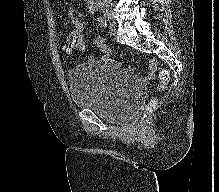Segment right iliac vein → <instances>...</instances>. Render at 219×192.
Listing matches in <instances>:
<instances>
[{"mask_svg": "<svg viewBox=\"0 0 219 192\" xmlns=\"http://www.w3.org/2000/svg\"><path fill=\"white\" fill-rule=\"evenodd\" d=\"M102 14L112 25H115L114 19H113L111 12L108 8H104L102 11Z\"/></svg>", "mask_w": 219, "mask_h": 192, "instance_id": "right-iliac-vein-1", "label": "right iliac vein"}]
</instances>
